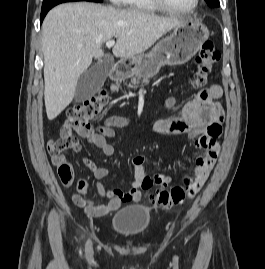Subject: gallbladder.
Masks as SVG:
<instances>
[{
	"label": "gallbladder",
	"mask_w": 265,
	"mask_h": 269,
	"mask_svg": "<svg viewBox=\"0 0 265 269\" xmlns=\"http://www.w3.org/2000/svg\"><path fill=\"white\" fill-rule=\"evenodd\" d=\"M112 66L105 59L84 72L78 79L74 101L84 102L93 97L103 86Z\"/></svg>",
	"instance_id": "gallbladder-1"
}]
</instances>
